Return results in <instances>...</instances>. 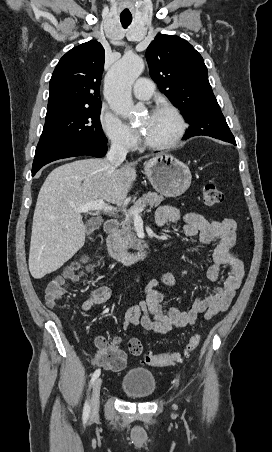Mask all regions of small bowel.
Masks as SVG:
<instances>
[{
  "label": "small bowel",
  "instance_id": "c3829d8e",
  "mask_svg": "<svg viewBox=\"0 0 272 452\" xmlns=\"http://www.w3.org/2000/svg\"><path fill=\"white\" fill-rule=\"evenodd\" d=\"M181 225L184 235L191 240H198L203 246L214 245L212 263L206 271L209 282L216 283L221 279L222 268L228 267L227 275L221 285H213L210 294L197 296L189 308H163L165 293L161 284L173 286L175 279L165 272L158 279L150 280L144 287L142 298L137 304L130 306L124 313L122 326L125 330L141 328L142 334H165L173 328L193 325L197 317L206 319L223 312L230 306L244 277V264L234 252L236 244V222L231 218L212 219L189 212L181 215L177 208L169 205L161 206L156 211V223ZM113 292L110 287L101 286L94 289L82 302L81 309L90 311L94 306L110 300ZM105 340L99 337L96 343ZM131 340H138L136 337ZM120 370V369H119Z\"/></svg>",
  "mask_w": 272,
  "mask_h": 452
}]
</instances>
